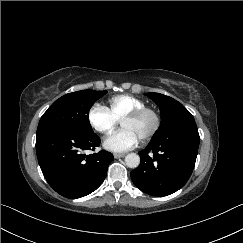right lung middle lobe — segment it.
I'll use <instances>...</instances> for the list:
<instances>
[{
	"instance_id": "obj_1",
	"label": "right lung middle lobe",
	"mask_w": 243,
	"mask_h": 243,
	"mask_svg": "<svg viewBox=\"0 0 243 243\" xmlns=\"http://www.w3.org/2000/svg\"><path fill=\"white\" fill-rule=\"evenodd\" d=\"M106 93L107 91L82 90L60 97L41 117L37 133L50 129L94 133L88 118L89 110Z\"/></svg>"
}]
</instances>
